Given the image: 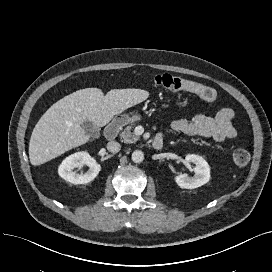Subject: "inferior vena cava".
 I'll return each instance as SVG.
<instances>
[{
	"instance_id": "602c4592",
	"label": "inferior vena cava",
	"mask_w": 272,
	"mask_h": 272,
	"mask_svg": "<svg viewBox=\"0 0 272 272\" xmlns=\"http://www.w3.org/2000/svg\"><path fill=\"white\" fill-rule=\"evenodd\" d=\"M120 149H121V146L118 142L111 141V142H108L107 144V150L112 153H117L120 151Z\"/></svg>"
}]
</instances>
